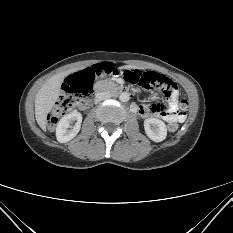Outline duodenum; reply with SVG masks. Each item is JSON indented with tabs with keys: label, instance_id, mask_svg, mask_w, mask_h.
I'll return each mask as SVG.
<instances>
[{
	"label": "duodenum",
	"instance_id": "duodenum-1",
	"mask_svg": "<svg viewBox=\"0 0 233 233\" xmlns=\"http://www.w3.org/2000/svg\"><path fill=\"white\" fill-rule=\"evenodd\" d=\"M110 92L114 94L128 93V91L120 84L101 82L96 86V93Z\"/></svg>",
	"mask_w": 233,
	"mask_h": 233
}]
</instances>
